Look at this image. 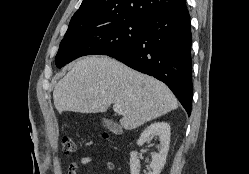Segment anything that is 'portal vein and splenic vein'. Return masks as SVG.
<instances>
[{"label":"portal vein and splenic vein","instance_id":"1","mask_svg":"<svg viewBox=\"0 0 249 174\" xmlns=\"http://www.w3.org/2000/svg\"><path fill=\"white\" fill-rule=\"evenodd\" d=\"M113 110L116 112V113H118V114H124V111L122 110V108L120 107V105L119 104H114L113 105Z\"/></svg>","mask_w":249,"mask_h":174}]
</instances>
